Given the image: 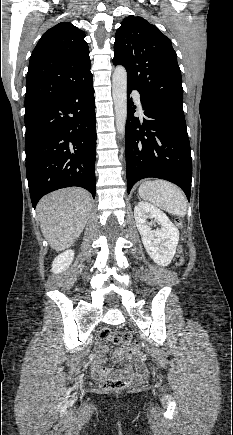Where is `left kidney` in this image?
<instances>
[{"instance_id": "1", "label": "left kidney", "mask_w": 233, "mask_h": 435, "mask_svg": "<svg viewBox=\"0 0 233 435\" xmlns=\"http://www.w3.org/2000/svg\"><path fill=\"white\" fill-rule=\"evenodd\" d=\"M134 217L144 247L155 263H171L179 240V231L167 215L155 206L140 201L134 208ZM154 218L161 229L152 230L147 219Z\"/></svg>"}]
</instances>
